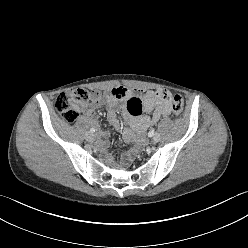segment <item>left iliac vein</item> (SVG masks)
Wrapping results in <instances>:
<instances>
[{
    "instance_id": "1",
    "label": "left iliac vein",
    "mask_w": 248,
    "mask_h": 248,
    "mask_svg": "<svg viewBox=\"0 0 248 248\" xmlns=\"http://www.w3.org/2000/svg\"><path fill=\"white\" fill-rule=\"evenodd\" d=\"M152 141H153L154 143L159 142V141H160V134H159V133L154 134V136H153V138H152Z\"/></svg>"
}]
</instances>
